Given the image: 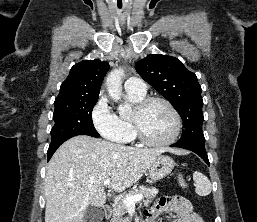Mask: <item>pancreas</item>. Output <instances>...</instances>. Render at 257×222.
Here are the masks:
<instances>
[{
	"label": "pancreas",
	"instance_id": "cf45deb5",
	"mask_svg": "<svg viewBox=\"0 0 257 222\" xmlns=\"http://www.w3.org/2000/svg\"><path fill=\"white\" fill-rule=\"evenodd\" d=\"M136 194H142L143 196V204L145 206H148L152 200L156 197L158 194V190L146 186H140L137 187L131 191L128 192L126 196H132ZM125 196V197H126ZM123 197L122 199H119L117 202L113 205V217L110 220V222H128V217H123L125 213L127 212V207L123 203Z\"/></svg>",
	"mask_w": 257,
	"mask_h": 222
}]
</instances>
